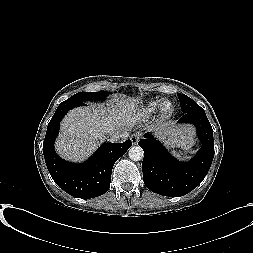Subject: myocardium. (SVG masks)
Segmentation results:
<instances>
[{"label":"myocardium","instance_id":"obj_1","mask_svg":"<svg viewBox=\"0 0 253 253\" xmlns=\"http://www.w3.org/2000/svg\"><path fill=\"white\" fill-rule=\"evenodd\" d=\"M175 111V105L171 100H164L160 104V113L163 117L171 116Z\"/></svg>","mask_w":253,"mask_h":253}]
</instances>
